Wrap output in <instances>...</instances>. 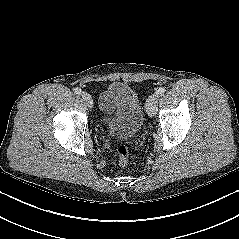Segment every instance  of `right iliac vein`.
Returning a JSON list of instances; mask_svg holds the SVG:
<instances>
[{"label": "right iliac vein", "instance_id": "obj_1", "mask_svg": "<svg viewBox=\"0 0 239 239\" xmlns=\"http://www.w3.org/2000/svg\"><path fill=\"white\" fill-rule=\"evenodd\" d=\"M81 96H82V99H83L84 103L88 107H92L93 106V100H92L90 94H88L87 92H83Z\"/></svg>", "mask_w": 239, "mask_h": 239}]
</instances>
